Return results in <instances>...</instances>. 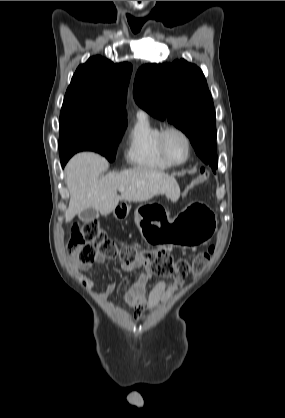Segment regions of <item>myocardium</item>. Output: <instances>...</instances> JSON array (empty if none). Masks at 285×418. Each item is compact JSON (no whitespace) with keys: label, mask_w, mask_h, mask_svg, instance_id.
<instances>
[{"label":"myocardium","mask_w":285,"mask_h":418,"mask_svg":"<svg viewBox=\"0 0 285 418\" xmlns=\"http://www.w3.org/2000/svg\"><path fill=\"white\" fill-rule=\"evenodd\" d=\"M170 132L178 133L184 139V141L186 143V156L182 161L175 162V161L171 160V158L169 157V155L166 151L165 143H164L165 142V137ZM156 142H157V146H158V149H159L162 157L165 159V161L169 165L179 166V165L185 164L189 160L190 154H191V140H190L189 135L183 129H181L180 127L175 126V125H169V126H166V127L162 128L157 135Z\"/></svg>","instance_id":"f54148a6"}]
</instances>
